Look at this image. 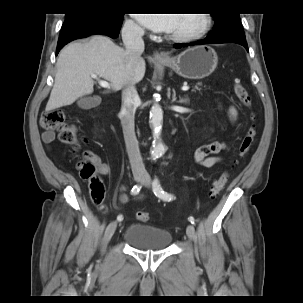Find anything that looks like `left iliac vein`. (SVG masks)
<instances>
[{
	"label": "left iliac vein",
	"mask_w": 303,
	"mask_h": 303,
	"mask_svg": "<svg viewBox=\"0 0 303 303\" xmlns=\"http://www.w3.org/2000/svg\"><path fill=\"white\" fill-rule=\"evenodd\" d=\"M141 183L146 186V187H150L151 185V178L149 176V174H145L143 179L141 180ZM186 233H187V236L189 239H194L195 237V227L193 224H189L187 226V229H186Z\"/></svg>",
	"instance_id": "left-iliac-vein-1"
}]
</instances>
